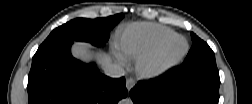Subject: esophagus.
Instances as JSON below:
<instances>
[{
    "label": "esophagus",
    "instance_id": "34e87169",
    "mask_svg": "<svg viewBox=\"0 0 252 104\" xmlns=\"http://www.w3.org/2000/svg\"><path fill=\"white\" fill-rule=\"evenodd\" d=\"M136 84V81L135 79L133 78H128L126 80V88L128 89V91H130Z\"/></svg>",
    "mask_w": 252,
    "mask_h": 104
}]
</instances>
